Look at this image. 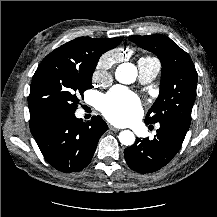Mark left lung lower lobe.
<instances>
[{
    "label": "left lung lower lobe",
    "mask_w": 217,
    "mask_h": 217,
    "mask_svg": "<svg viewBox=\"0 0 217 217\" xmlns=\"http://www.w3.org/2000/svg\"><path fill=\"white\" fill-rule=\"evenodd\" d=\"M159 124L153 140L136 138L135 143L124 150L125 160L134 171L155 172L168 164L181 148L189 126L175 120Z\"/></svg>",
    "instance_id": "0a47b994"
}]
</instances>
